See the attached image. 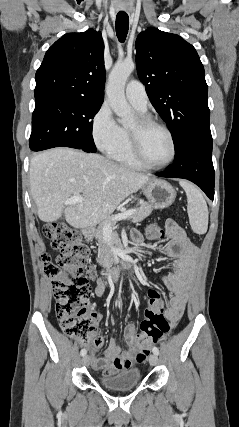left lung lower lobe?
<instances>
[{
    "mask_svg": "<svg viewBox=\"0 0 239 427\" xmlns=\"http://www.w3.org/2000/svg\"><path fill=\"white\" fill-rule=\"evenodd\" d=\"M156 175L187 179L198 185L213 200L215 172L212 163V137L188 141L175 153L174 163Z\"/></svg>",
    "mask_w": 239,
    "mask_h": 427,
    "instance_id": "left-lung-lower-lobe-1",
    "label": "left lung lower lobe"
}]
</instances>
